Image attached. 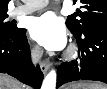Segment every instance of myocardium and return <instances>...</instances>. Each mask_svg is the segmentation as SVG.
Masks as SVG:
<instances>
[{
	"mask_svg": "<svg viewBox=\"0 0 107 89\" xmlns=\"http://www.w3.org/2000/svg\"><path fill=\"white\" fill-rule=\"evenodd\" d=\"M76 55H77V47L75 45H71L65 55V58L71 60L74 59Z\"/></svg>",
	"mask_w": 107,
	"mask_h": 89,
	"instance_id": "1",
	"label": "myocardium"
}]
</instances>
